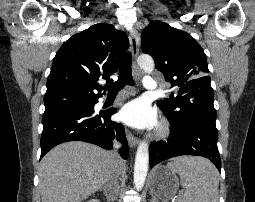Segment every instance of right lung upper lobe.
Here are the masks:
<instances>
[{"mask_svg":"<svg viewBox=\"0 0 255 202\" xmlns=\"http://www.w3.org/2000/svg\"><path fill=\"white\" fill-rule=\"evenodd\" d=\"M128 45L127 35L107 23L70 37L54 57L44 97L45 112L98 101L102 94L97 81L111 82L110 76L117 72Z\"/></svg>","mask_w":255,"mask_h":202,"instance_id":"obj_1","label":"right lung upper lobe"}]
</instances>
